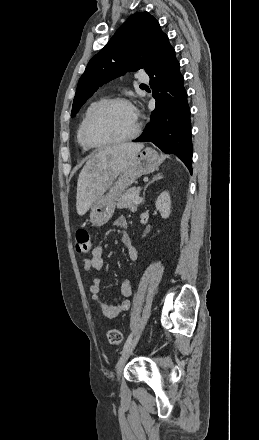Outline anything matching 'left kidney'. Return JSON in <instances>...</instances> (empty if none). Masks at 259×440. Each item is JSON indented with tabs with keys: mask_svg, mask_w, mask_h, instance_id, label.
Instances as JSON below:
<instances>
[{
	"mask_svg": "<svg viewBox=\"0 0 259 440\" xmlns=\"http://www.w3.org/2000/svg\"><path fill=\"white\" fill-rule=\"evenodd\" d=\"M155 207L160 212L162 218L167 219L169 217L171 213V198L168 191H163L158 196Z\"/></svg>",
	"mask_w": 259,
	"mask_h": 440,
	"instance_id": "1",
	"label": "left kidney"
}]
</instances>
